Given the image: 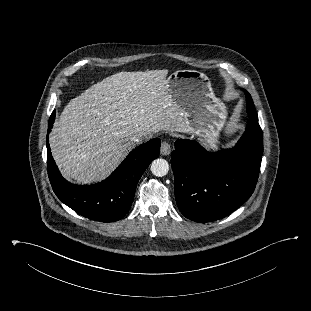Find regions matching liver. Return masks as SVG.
<instances>
[{
  "mask_svg": "<svg viewBox=\"0 0 311 311\" xmlns=\"http://www.w3.org/2000/svg\"><path fill=\"white\" fill-rule=\"evenodd\" d=\"M167 74V69L119 72L73 98L49 138L63 176L81 184L98 182L133 147L134 135L192 132L169 94Z\"/></svg>",
  "mask_w": 311,
  "mask_h": 311,
  "instance_id": "1",
  "label": "liver"
}]
</instances>
